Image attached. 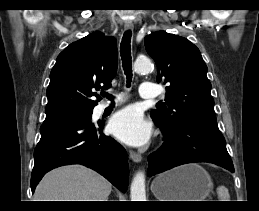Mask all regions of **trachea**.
<instances>
[{
    "mask_svg": "<svg viewBox=\"0 0 259 211\" xmlns=\"http://www.w3.org/2000/svg\"><path fill=\"white\" fill-rule=\"evenodd\" d=\"M131 31H126L122 37V41L120 44V53L122 58V66L127 78V86H130L132 79V60H131ZM101 95L103 97H107L112 100V96L102 91Z\"/></svg>",
    "mask_w": 259,
    "mask_h": 211,
    "instance_id": "obj_1",
    "label": "trachea"
}]
</instances>
